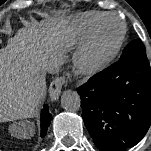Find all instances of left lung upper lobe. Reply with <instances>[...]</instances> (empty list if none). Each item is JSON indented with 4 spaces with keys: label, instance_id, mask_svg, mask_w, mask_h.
<instances>
[{
    "label": "left lung upper lobe",
    "instance_id": "5c2ea615",
    "mask_svg": "<svg viewBox=\"0 0 151 151\" xmlns=\"http://www.w3.org/2000/svg\"><path fill=\"white\" fill-rule=\"evenodd\" d=\"M146 54V49L144 44L140 39L131 41L123 50V54L120 57V60L132 57L134 55H143Z\"/></svg>",
    "mask_w": 151,
    "mask_h": 151
}]
</instances>
